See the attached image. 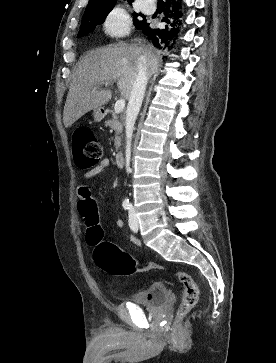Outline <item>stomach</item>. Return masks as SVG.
I'll return each mask as SVG.
<instances>
[{
  "instance_id": "obj_1",
  "label": "stomach",
  "mask_w": 276,
  "mask_h": 363,
  "mask_svg": "<svg viewBox=\"0 0 276 363\" xmlns=\"http://www.w3.org/2000/svg\"><path fill=\"white\" fill-rule=\"evenodd\" d=\"M93 116L96 122H100L105 117V112L102 108H98L94 110Z\"/></svg>"
}]
</instances>
